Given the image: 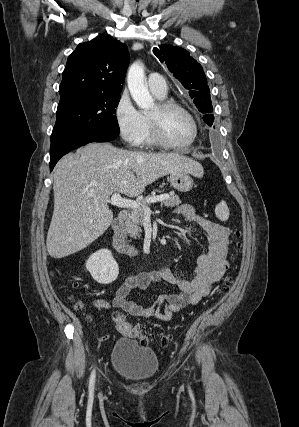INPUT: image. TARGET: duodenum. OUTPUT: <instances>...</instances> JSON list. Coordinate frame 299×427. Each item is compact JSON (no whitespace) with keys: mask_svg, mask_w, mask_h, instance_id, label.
Wrapping results in <instances>:
<instances>
[{"mask_svg":"<svg viewBox=\"0 0 299 427\" xmlns=\"http://www.w3.org/2000/svg\"><path fill=\"white\" fill-rule=\"evenodd\" d=\"M129 219V212L126 210L120 211L116 220L111 226L112 243L114 247L125 256L136 257L139 253L137 248L128 242L124 225Z\"/></svg>","mask_w":299,"mask_h":427,"instance_id":"duodenum-1","label":"duodenum"}]
</instances>
